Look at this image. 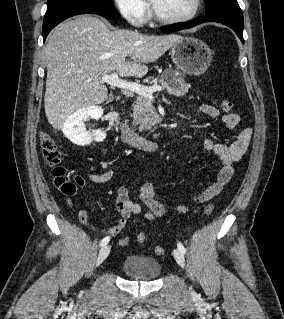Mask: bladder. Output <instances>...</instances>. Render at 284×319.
Wrapping results in <instances>:
<instances>
[{
    "instance_id": "31cf9c89",
    "label": "bladder",
    "mask_w": 284,
    "mask_h": 319,
    "mask_svg": "<svg viewBox=\"0 0 284 319\" xmlns=\"http://www.w3.org/2000/svg\"><path fill=\"white\" fill-rule=\"evenodd\" d=\"M121 268L126 276L139 281L155 280L161 273V264L157 259L139 254L127 255Z\"/></svg>"
}]
</instances>
